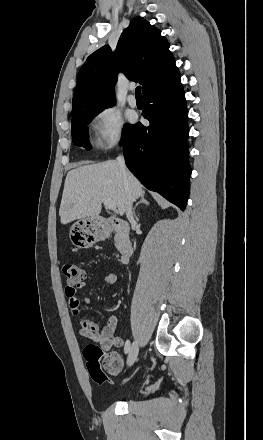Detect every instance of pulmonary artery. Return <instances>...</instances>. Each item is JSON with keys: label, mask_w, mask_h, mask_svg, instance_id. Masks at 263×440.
Masks as SVG:
<instances>
[{"label": "pulmonary artery", "mask_w": 263, "mask_h": 440, "mask_svg": "<svg viewBox=\"0 0 263 440\" xmlns=\"http://www.w3.org/2000/svg\"><path fill=\"white\" fill-rule=\"evenodd\" d=\"M127 101H128V104L131 107H136L137 106V100H136L134 95H132V94L128 95Z\"/></svg>", "instance_id": "1"}]
</instances>
